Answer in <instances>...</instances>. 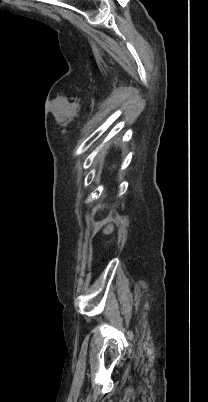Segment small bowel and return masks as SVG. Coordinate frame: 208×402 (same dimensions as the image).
<instances>
[{"label": "small bowel", "mask_w": 208, "mask_h": 402, "mask_svg": "<svg viewBox=\"0 0 208 402\" xmlns=\"http://www.w3.org/2000/svg\"><path fill=\"white\" fill-rule=\"evenodd\" d=\"M111 231H112V227H111L110 225H107V226L104 228V233H106V234L110 233Z\"/></svg>", "instance_id": "obj_1"}]
</instances>
